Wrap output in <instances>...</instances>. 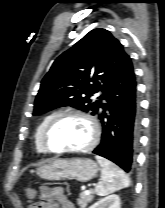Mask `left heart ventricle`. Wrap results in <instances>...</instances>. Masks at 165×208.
<instances>
[{
	"instance_id": "b2bd125f",
	"label": "left heart ventricle",
	"mask_w": 165,
	"mask_h": 208,
	"mask_svg": "<svg viewBox=\"0 0 165 208\" xmlns=\"http://www.w3.org/2000/svg\"><path fill=\"white\" fill-rule=\"evenodd\" d=\"M91 138V128L81 118L69 117L50 131L48 142L55 149H75L85 146Z\"/></svg>"
}]
</instances>
